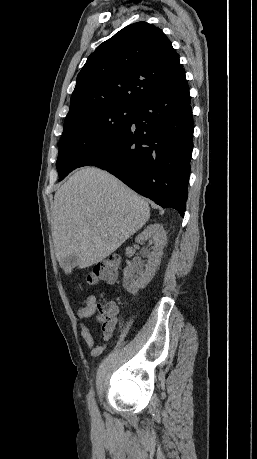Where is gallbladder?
Wrapping results in <instances>:
<instances>
[{"label": "gallbladder", "mask_w": 257, "mask_h": 459, "mask_svg": "<svg viewBox=\"0 0 257 459\" xmlns=\"http://www.w3.org/2000/svg\"><path fill=\"white\" fill-rule=\"evenodd\" d=\"M77 260H78L77 256L71 255L69 257H66L63 262L66 265L75 266L77 264Z\"/></svg>", "instance_id": "bac80fb5"}]
</instances>
